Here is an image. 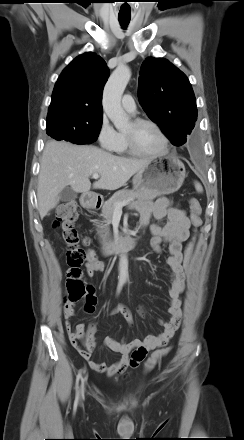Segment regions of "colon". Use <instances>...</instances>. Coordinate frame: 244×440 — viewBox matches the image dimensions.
Returning a JSON list of instances; mask_svg holds the SVG:
<instances>
[{
  "mask_svg": "<svg viewBox=\"0 0 244 440\" xmlns=\"http://www.w3.org/2000/svg\"><path fill=\"white\" fill-rule=\"evenodd\" d=\"M77 209V204L74 201L61 204L56 210V217L53 222L54 227L59 231L61 239L67 245L66 258L69 269L67 271L66 279L67 297L65 310L72 308L75 303L81 300L86 302V308H90L95 302L93 287L83 281L80 266L86 259L89 261L98 260L94 253H87L79 247L80 235L74 226L77 217ZM190 211L192 226L193 229L196 230L202 224V207L200 202L195 198L190 199ZM193 247L194 236L190 238L184 249L183 267L185 272L190 266ZM170 350V348H164L153 353L145 364V370L151 371L155 365L170 352ZM139 353L144 355L145 351L140 350Z\"/></svg>",
  "mask_w": 244,
  "mask_h": 440,
  "instance_id": "obj_1",
  "label": "colon"
}]
</instances>
